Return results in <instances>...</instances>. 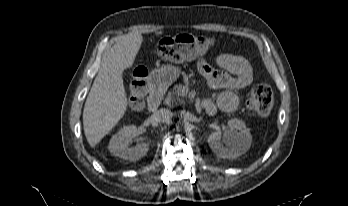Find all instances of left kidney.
<instances>
[{"mask_svg": "<svg viewBox=\"0 0 348 206\" xmlns=\"http://www.w3.org/2000/svg\"><path fill=\"white\" fill-rule=\"evenodd\" d=\"M228 126L223 135L220 131H215L209 135L207 141L212 151L220 158L235 159L248 151L252 136L242 120L231 119ZM222 138L227 147L223 146Z\"/></svg>", "mask_w": 348, "mask_h": 206, "instance_id": "obj_1", "label": "left kidney"}]
</instances>
